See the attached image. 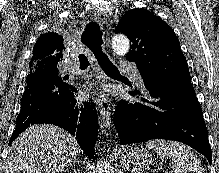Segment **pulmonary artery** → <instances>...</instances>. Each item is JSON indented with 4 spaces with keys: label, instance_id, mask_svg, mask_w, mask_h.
<instances>
[{
    "label": "pulmonary artery",
    "instance_id": "pulmonary-artery-1",
    "mask_svg": "<svg viewBox=\"0 0 219 173\" xmlns=\"http://www.w3.org/2000/svg\"><path fill=\"white\" fill-rule=\"evenodd\" d=\"M120 67L122 70L128 71L131 74V77L135 82H138V83L142 82L141 73L132 63L123 61Z\"/></svg>",
    "mask_w": 219,
    "mask_h": 173
}]
</instances>
